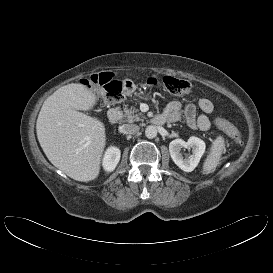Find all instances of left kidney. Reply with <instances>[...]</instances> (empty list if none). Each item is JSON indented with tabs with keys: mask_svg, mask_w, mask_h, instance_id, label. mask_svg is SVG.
Instances as JSON below:
<instances>
[{
	"mask_svg": "<svg viewBox=\"0 0 273 273\" xmlns=\"http://www.w3.org/2000/svg\"><path fill=\"white\" fill-rule=\"evenodd\" d=\"M192 148V155L188 158H183L181 149L182 148ZM205 142L198 137L192 136L185 142L182 139H175L169 144V152L174 163L183 171L191 172L193 171L202 155L205 152Z\"/></svg>",
	"mask_w": 273,
	"mask_h": 273,
	"instance_id": "left-kidney-1",
	"label": "left kidney"
}]
</instances>
